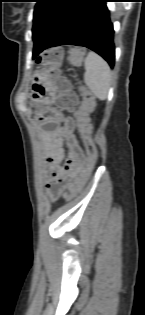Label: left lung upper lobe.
Segmentation results:
<instances>
[{"label": "left lung upper lobe", "instance_id": "5c2ea615", "mask_svg": "<svg viewBox=\"0 0 145 315\" xmlns=\"http://www.w3.org/2000/svg\"><path fill=\"white\" fill-rule=\"evenodd\" d=\"M72 0H37L33 19V40L40 42Z\"/></svg>", "mask_w": 145, "mask_h": 315}]
</instances>
